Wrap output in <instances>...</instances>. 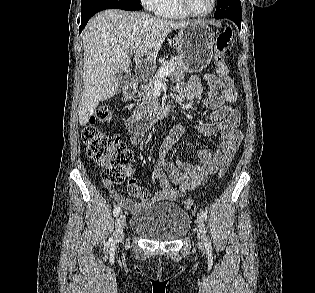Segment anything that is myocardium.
I'll return each mask as SVG.
<instances>
[{
    "mask_svg": "<svg viewBox=\"0 0 315 293\" xmlns=\"http://www.w3.org/2000/svg\"><path fill=\"white\" fill-rule=\"evenodd\" d=\"M180 2V5L182 7V9L191 17H196V18H204V17H207L209 16L214 10H215V7H216V4H217V0H212V5H211V8L206 12V13H203V14H198V13H195L191 7H190V4H189V0H179Z\"/></svg>",
    "mask_w": 315,
    "mask_h": 293,
    "instance_id": "myocardium-1",
    "label": "myocardium"
}]
</instances>
